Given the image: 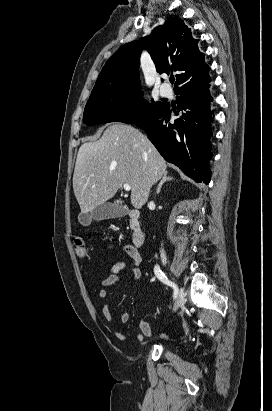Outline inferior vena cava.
<instances>
[{"instance_id":"inferior-vena-cava-1","label":"inferior vena cava","mask_w":272,"mask_h":411,"mask_svg":"<svg viewBox=\"0 0 272 411\" xmlns=\"http://www.w3.org/2000/svg\"><path fill=\"white\" fill-rule=\"evenodd\" d=\"M160 256H161V259L163 261H166L167 258H166V253H165L164 249L160 250Z\"/></svg>"}]
</instances>
